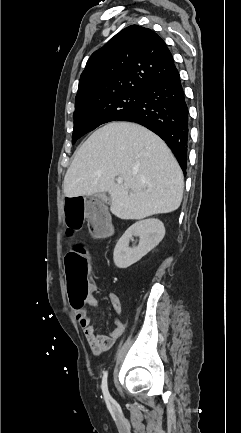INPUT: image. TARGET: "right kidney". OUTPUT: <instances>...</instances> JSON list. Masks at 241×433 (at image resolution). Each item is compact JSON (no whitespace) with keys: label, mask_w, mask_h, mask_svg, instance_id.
<instances>
[{"label":"right kidney","mask_w":241,"mask_h":433,"mask_svg":"<svg viewBox=\"0 0 241 433\" xmlns=\"http://www.w3.org/2000/svg\"><path fill=\"white\" fill-rule=\"evenodd\" d=\"M164 235V224L158 219L150 218L136 222L126 230L115 246L113 260L116 267L125 269L136 263L156 247ZM133 236L139 237V244L137 247L129 248Z\"/></svg>","instance_id":"1"}]
</instances>
